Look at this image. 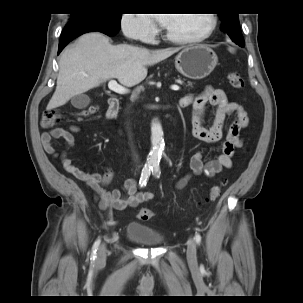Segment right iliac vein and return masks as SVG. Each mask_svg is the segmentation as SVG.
Returning a JSON list of instances; mask_svg holds the SVG:
<instances>
[{
	"instance_id": "right-iliac-vein-1",
	"label": "right iliac vein",
	"mask_w": 303,
	"mask_h": 303,
	"mask_svg": "<svg viewBox=\"0 0 303 303\" xmlns=\"http://www.w3.org/2000/svg\"><path fill=\"white\" fill-rule=\"evenodd\" d=\"M106 256H107V248H106V244L103 243L98 249L97 264H103L106 261Z\"/></svg>"
}]
</instances>
